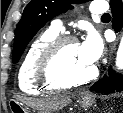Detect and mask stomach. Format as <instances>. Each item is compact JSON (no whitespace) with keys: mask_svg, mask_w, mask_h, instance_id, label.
I'll list each match as a JSON object with an SVG mask.
<instances>
[{"mask_svg":"<svg viewBox=\"0 0 123 113\" xmlns=\"http://www.w3.org/2000/svg\"><path fill=\"white\" fill-rule=\"evenodd\" d=\"M78 102L82 108H89L95 103V98L92 95L82 94L79 96ZM9 107L12 113H30L28 108L16 100H11Z\"/></svg>","mask_w":123,"mask_h":113,"instance_id":"0dacf381","label":"stomach"}]
</instances>
